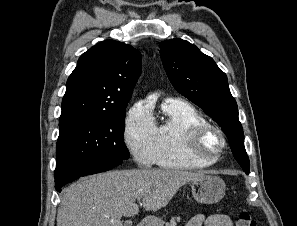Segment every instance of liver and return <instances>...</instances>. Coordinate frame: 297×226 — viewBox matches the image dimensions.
Returning <instances> with one entry per match:
<instances>
[{
	"instance_id": "1",
	"label": "liver",
	"mask_w": 297,
	"mask_h": 226,
	"mask_svg": "<svg viewBox=\"0 0 297 226\" xmlns=\"http://www.w3.org/2000/svg\"><path fill=\"white\" fill-rule=\"evenodd\" d=\"M204 176V172L174 169L116 170L90 176L63 191L57 226H122V216L139 213L137 197L146 211H157L182 185Z\"/></svg>"
}]
</instances>
